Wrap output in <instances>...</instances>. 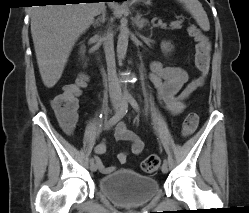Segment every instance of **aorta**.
<instances>
[{
  "label": "aorta",
  "instance_id": "aorta-1",
  "mask_svg": "<svg viewBox=\"0 0 249 213\" xmlns=\"http://www.w3.org/2000/svg\"><path fill=\"white\" fill-rule=\"evenodd\" d=\"M128 29H127V19L122 18L121 19V28H120V33L118 36V42H117V56L119 61H122L127 52L128 48ZM124 96H128L127 90H124Z\"/></svg>",
  "mask_w": 249,
  "mask_h": 213
}]
</instances>
